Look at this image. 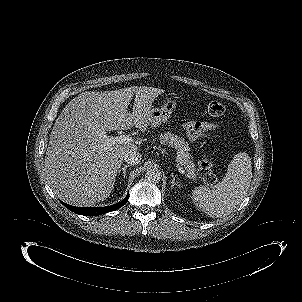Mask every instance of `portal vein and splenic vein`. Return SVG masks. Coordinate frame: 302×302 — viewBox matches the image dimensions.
Listing matches in <instances>:
<instances>
[{
  "label": "portal vein and splenic vein",
  "instance_id": "18ae733b",
  "mask_svg": "<svg viewBox=\"0 0 302 302\" xmlns=\"http://www.w3.org/2000/svg\"><path fill=\"white\" fill-rule=\"evenodd\" d=\"M133 138L129 135H120V136H116V137H109V136H105V144H104V148L108 149L110 148L112 145L115 144H126L129 142H132ZM178 171L182 174L185 173V171L183 170V168L181 166H177Z\"/></svg>",
  "mask_w": 302,
  "mask_h": 302
}]
</instances>
